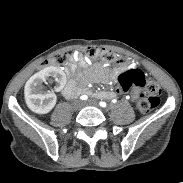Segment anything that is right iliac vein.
<instances>
[{
	"label": "right iliac vein",
	"mask_w": 183,
	"mask_h": 183,
	"mask_svg": "<svg viewBox=\"0 0 183 183\" xmlns=\"http://www.w3.org/2000/svg\"><path fill=\"white\" fill-rule=\"evenodd\" d=\"M83 107V103L81 101H75L73 103V108L74 110H80Z\"/></svg>",
	"instance_id": "right-iliac-vein-1"
}]
</instances>
